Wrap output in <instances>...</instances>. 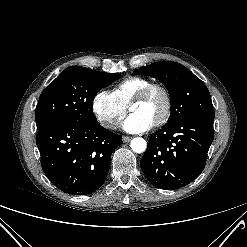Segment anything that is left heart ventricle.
<instances>
[{
    "mask_svg": "<svg viewBox=\"0 0 247 247\" xmlns=\"http://www.w3.org/2000/svg\"><path fill=\"white\" fill-rule=\"evenodd\" d=\"M164 107L162 94L155 91L145 101L133 104L130 110L139 113L153 124L162 115Z\"/></svg>",
    "mask_w": 247,
    "mask_h": 247,
    "instance_id": "obj_1",
    "label": "left heart ventricle"
}]
</instances>
